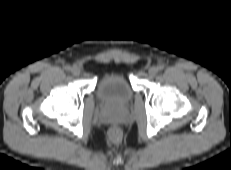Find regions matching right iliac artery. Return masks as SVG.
I'll return each instance as SVG.
<instances>
[{"mask_svg":"<svg viewBox=\"0 0 231 170\" xmlns=\"http://www.w3.org/2000/svg\"><path fill=\"white\" fill-rule=\"evenodd\" d=\"M65 70L66 71H70L71 70V67L69 65L65 66Z\"/></svg>","mask_w":231,"mask_h":170,"instance_id":"obj_1","label":"right iliac artery"}]
</instances>
